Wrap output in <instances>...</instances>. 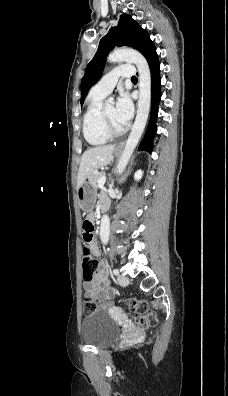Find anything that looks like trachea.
I'll use <instances>...</instances> for the list:
<instances>
[{"label": "trachea", "mask_w": 228, "mask_h": 396, "mask_svg": "<svg viewBox=\"0 0 228 396\" xmlns=\"http://www.w3.org/2000/svg\"><path fill=\"white\" fill-rule=\"evenodd\" d=\"M131 80H132V81H137V77L133 76V77L131 78Z\"/></svg>", "instance_id": "3493384b"}]
</instances>
